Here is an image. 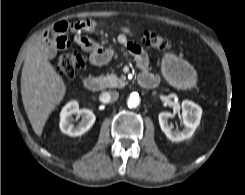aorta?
<instances>
[{
    "label": "aorta",
    "instance_id": "1",
    "mask_svg": "<svg viewBox=\"0 0 245 195\" xmlns=\"http://www.w3.org/2000/svg\"><path fill=\"white\" fill-rule=\"evenodd\" d=\"M139 102H140V98H139L138 93L133 92L130 94V96L128 98L127 105H128V107L133 108V107L138 106Z\"/></svg>",
    "mask_w": 245,
    "mask_h": 195
}]
</instances>
